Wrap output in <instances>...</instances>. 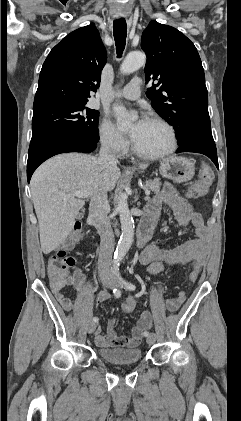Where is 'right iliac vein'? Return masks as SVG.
<instances>
[{"mask_svg": "<svg viewBox=\"0 0 241 421\" xmlns=\"http://www.w3.org/2000/svg\"><path fill=\"white\" fill-rule=\"evenodd\" d=\"M103 285L105 286V287H108V288H111V287H113V281H111V280H108V279H105L104 281H103ZM95 329H96V324H95V322H90L89 323V325H88V328H87V330H88V333L89 334H92L94 331H95Z\"/></svg>", "mask_w": 241, "mask_h": 421, "instance_id": "1", "label": "right iliac vein"}]
</instances>
